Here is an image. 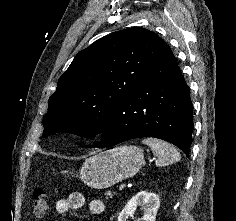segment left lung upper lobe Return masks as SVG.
Wrapping results in <instances>:
<instances>
[{
    "instance_id": "obj_1",
    "label": "left lung upper lobe",
    "mask_w": 236,
    "mask_h": 221,
    "mask_svg": "<svg viewBox=\"0 0 236 221\" xmlns=\"http://www.w3.org/2000/svg\"><path fill=\"white\" fill-rule=\"evenodd\" d=\"M166 45L151 31L134 27L80 51L49 98L42 137L63 130L87 138L104 132Z\"/></svg>"
}]
</instances>
